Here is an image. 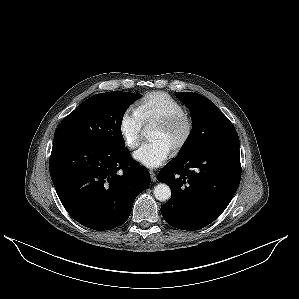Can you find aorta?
Instances as JSON below:
<instances>
[{"mask_svg": "<svg viewBox=\"0 0 299 299\" xmlns=\"http://www.w3.org/2000/svg\"><path fill=\"white\" fill-rule=\"evenodd\" d=\"M154 196L157 200L164 202L170 199L171 189L167 184L160 183L154 187Z\"/></svg>", "mask_w": 299, "mask_h": 299, "instance_id": "1", "label": "aorta"}]
</instances>
